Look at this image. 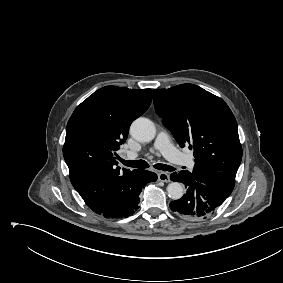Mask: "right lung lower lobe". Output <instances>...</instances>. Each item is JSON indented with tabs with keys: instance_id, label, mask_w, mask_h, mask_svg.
<instances>
[{
	"instance_id": "98d812e1",
	"label": "right lung lower lobe",
	"mask_w": 283,
	"mask_h": 283,
	"mask_svg": "<svg viewBox=\"0 0 283 283\" xmlns=\"http://www.w3.org/2000/svg\"><path fill=\"white\" fill-rule=\"evenodd\" d=\"M156 180L157 175L155 173L146 170H138L136 174V186L129 198H127L118 206L99 214L112 218L128 217L129 215L133 214L134 211H136L138 208V204L140 202L139 194L142 187L147 182Z\"/></svg>"
}]
</instances>
